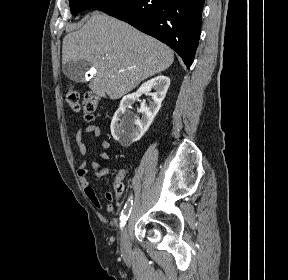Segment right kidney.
Here are the masks:
<instances>
[{
	"instance_id": "obj_1",
	"label": "right kidney",
	"mask_w": 288,
	"mask_h": 280,
	"mask_svg": "<svg viewBox=\"0 0 288 280\" xmlns=\"http://www.w3.org/2000/svg\"><path fill=\"white\" fill-rule=\"evenodd\" d=\"M169 85L170 79L160 75L143 83L136 93L123 97L111 122L113 138L123 146H129L138 141L148 130L158 113ZM152 89L155 90L154 93H151L153 101L148 106L145 103L141 104L139 109V113L142 114L141 118H136L127 111L141 95L150 94Z\"/></svg>"
}]
</instances>
